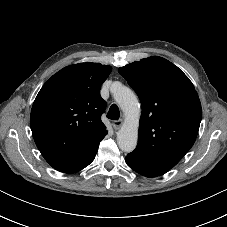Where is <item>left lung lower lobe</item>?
<instances>
[{
  "instance_id": "0a47b994",
  "label": "left lung lower lobe",
  "mask_w": 227,
  "mask_h": 227,
  "mask_svg": "<svg viewBox=\"0 0 227 227\" xmlns=\"http://www.w3.org/2000/svg\"><path fill=\"white\" fill-rule=\"evenodd\" d=\"M125 161L131 169L146 177L160 176L165 174L168 171L166 169L156 168V167L147 165L142 161L135 159L129 155L126 156Z\"/></svg>"
}]
</instances>
